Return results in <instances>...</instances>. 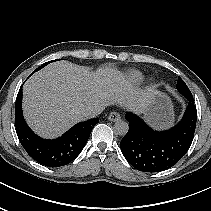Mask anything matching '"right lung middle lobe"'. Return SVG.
<instances>
[{"label":"right lung middle lobe","mask_w":211,"mask_h":211,"mask_svg":"<svg viewBox=\"0 0 211 211\" xmlns=\"http://www.w3.org/2000/svg\"><path fill=\"white\" fill-rule=\"evenodd\" d=\"M54 61H57V60H54ZM51 62H53V61H49V62L44 63V64L41 65L39 68H37L34 72L40 70L41 68H43L44 66H46L47 64H49V63H51ZM34 72H33V73H34Z\"/></svg>","instance_id":"obj_1"}]
</instances>
